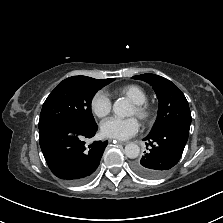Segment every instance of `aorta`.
Returning <instances> with one entry per match:
<instances>
[{
    "label": "aorta",
    "instance_id": "1",
    "mask_svg": "<svg viewBox=\"0 0 223 223\" xmlns=\"http://www.w3.org/2000/svg\"><path fill=\"white\" fill-rule=\"evenodd\" d=\"M113 112L117 117H126L131 115L132 108L127 101L117 100L113 104ZM124 153L128 158L135 159L140 154V148L136 143H129L125 146Z\"/></svg>",
    "mask_w": 223,
    "mask_h": 223
}]
</instances>
